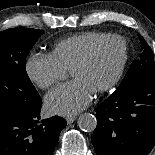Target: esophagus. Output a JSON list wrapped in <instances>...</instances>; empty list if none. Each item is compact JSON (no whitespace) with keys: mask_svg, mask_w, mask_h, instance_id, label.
<instances>
[{"mask_svg":"<svg viewBox=\"0 0 155 155\" xmlns=\"http://www.w3.org/2000/svg\"><path fill=\"white\" fill-rule=\"evenodd\" d=\"M76 120L75 116L66 117V121L68 124L73 123Z\"/></svg>","mask_w":155,"mask_h":155,"instance_id":"1","label":"esophagus"}]
</instances>
